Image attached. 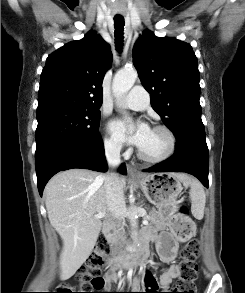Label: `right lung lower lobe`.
Returning a JSON list of instances; mask_svg holds the SVG:
<instances>
[{
	"label": "right lung lower lobe",
	"mask_w": 245,
	"mask_h": 293,
	"mask_svg": "<svg viewBox=\"0 0 245 293\" xmlns=\"http://www.w3.org/2000/svg\"><path fill=\"white\" fill-rule=\"evenodd\" d=\"M72 168L107 171L104 146L101 139L97 142L66 143L52 148L36 161L37 184L40 195L48 180L58 173ZM119 172L126 173L124 164Z\"/></svg>",
	"instance_id": "98d812e1"
}]
</instances>
